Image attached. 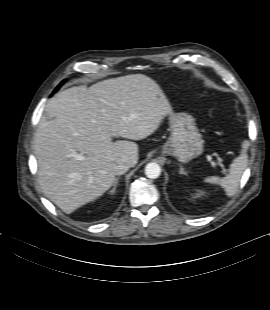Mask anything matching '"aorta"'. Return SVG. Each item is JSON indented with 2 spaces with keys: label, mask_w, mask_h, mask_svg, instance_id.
<instances>
[{
  "label": "aorta",
  "mask_w": 270,
  "mask_h": 310,
  "mask_svg": "<svg viewBox=\"0 0 270 310\" xmlns=\"http://www.w3.org/2000/svg\"><path fill=\"white\" fill-rule=\"evenodd\" d=\"M145 174L150 179H156L161 174V168L155 162L148 163L145 167Z\"/></svg>",
  "instance_id": "aorta-1"
}]
</instances>
